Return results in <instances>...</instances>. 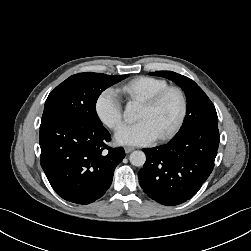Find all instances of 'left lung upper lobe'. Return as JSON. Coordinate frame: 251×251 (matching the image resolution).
Returning a JSON list of instances; mask_svg holds the SVG:
<instances>
[{
    "mask_svg": "<svg viewBox=\"0 0 251 251\" xmlns=\"http://www.w3.org/2000/svg\"><path fill=\"white\" fill-rule=\"evenodd\" d=\"M150 75L172 80L185 92L186 116L182 127L174 137L198 128H218V117L213 103L193 80L172 71H157Z\"/></svg>",
    "mask_w": 251,
    "mask_h": 251,
    "instance_id": "obj_1",
    "label": "left lung upper lobe"
}]
</instances>
